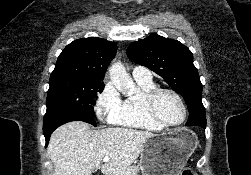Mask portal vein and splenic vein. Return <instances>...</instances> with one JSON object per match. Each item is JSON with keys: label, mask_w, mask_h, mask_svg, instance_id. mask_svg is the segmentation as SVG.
I'll use <instances>...</instances> for the list:
<instances>
[{"label": "portal vein and splenic vein", "mask_w": 251, "mask_h": 175, "mask_svg": "<svg viewBox=\"0 0 251 175\" xmlns=\"http://www.w3.org/2000/svg\"><path fill=\"white\" fill-rule=\"evenodd\" d=\"M110 157L109 155H105V157H103V161H109Z\"/></svg>", "instance_id": "portal-vein-and-splenic-vein-1"}]
</instances>
